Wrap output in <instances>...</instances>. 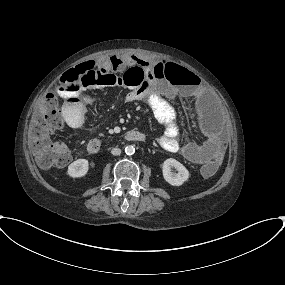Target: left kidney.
<instances>
[{"label":"left kidney","mask_w":285,"mask_h":285,"mask_svg":"<svg viewBox=\"0 0 285 285\" xmlns=\"http://www.w3.org/2000/svg\"><path fill=\"white\" fill-rule=\"evenodd\" d=\"M174 167L178 172H171ZM163 178L172 186H181L189 178V171L180 162L173 158L166 159L162 166Z\"/></svg>","instance_id":"left-kidney-1"}]
</instances>
